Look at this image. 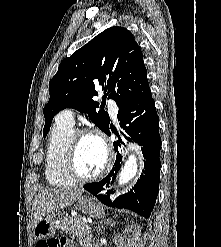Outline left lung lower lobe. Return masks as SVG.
<instances>
[{
    "mask_svg": "<svg viewBox=\"0 0 221 247\" xmlns=\"http://www.w3.org/2000/svg\"><path fill=\"white\" fill-rule=\"evenodd\" d=\"M118 111V121L121 131L118 133L108 126L105 133L110 136L116 133L120 141L114 143L116 162L110 173L100 182L89 183L84 189L96 196L102 203L110 207L125 208L149 218L154 208L160 180V144L159 118L151 94L121 104ZM120 135L126 139L131 138L142 146L144 156V169L137 183L128 193L113 199L108 194V186L119 170L121 161V144H124Z\"/></svg>",
    "mask_w": 221,
    "mask_h": 247,
    "instance_id": "0a47b994",
    "label": "left lung lower lobe"
}]
</instances>
